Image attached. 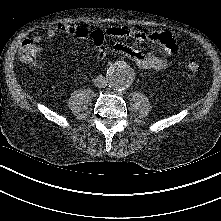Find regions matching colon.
I'll use <instances>...</instances> for the list:
<instances>
[{
	"instance_id": "colon-1",
	"label": "colon",
	"mask_w": 221,
	"mask_h": 221,
	"mask_svg": "<svg viewBox=\"0 0 221 221\" xmlns=\"http://www.w3.org/2000/svg\"><path fill=\"white\" fill-rule=\"evenodd\" d=\"M39 54L38 46L32 39L25 40L19 49V58L22 62L33 64L37 60ZM200 71V66L197 62L191 61L186 67V72L190 77H197Z\"/></svg>"
}]
</instances>
